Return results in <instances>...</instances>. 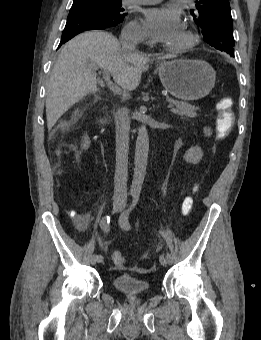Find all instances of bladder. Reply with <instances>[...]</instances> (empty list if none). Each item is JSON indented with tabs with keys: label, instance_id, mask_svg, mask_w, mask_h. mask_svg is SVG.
<instances>
[{
	"label": "bladder",
	"instance_id": "obj_1",
	"mask_svg": "<svg viewBox=\"0 0 261 340\" xmlns=\"http://www.w3.org/2000/svg\"><path fill=\"white\" fill-rule=\"evenodd\" d=\"M113 286L119 293L125 296H141L149 292V284L146 280L130 274L114 277Z\"/></svg>",
	"mask_w": 261,
	"mask_h": 340
}]
</instances>
